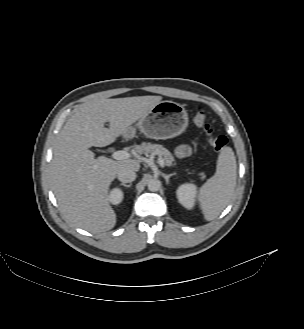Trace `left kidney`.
Segmentation results:
<instances>
[{
  "label": "left kidney",
  "mask_w": 304,
  "mask_h": 329,
  "mask_svg": "<svg viewBox=\"0 0 304 329\" xmlns=\"http://www.w3.org/2000/svg\"><path fill=\"white\" fill-rule=\"evenodd\" d=\"M197 186L195 184L186 183L177 189V198L181 205L187 209H192L195 204V195Z\"/></svg>",
  "instance_id": "obj_1"
}]
</instances>
